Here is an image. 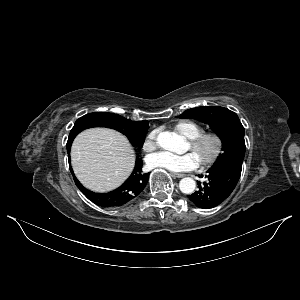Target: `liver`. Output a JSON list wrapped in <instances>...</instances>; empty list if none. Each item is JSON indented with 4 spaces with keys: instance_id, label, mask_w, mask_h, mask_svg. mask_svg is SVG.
<instances>
[{
    "instance_id": "obj_1",
    "label": "liver",
    "mask_w": 300,
    "mask_h": 300,
    "mask_svg": "<svg viewBox=\"0 0 300 300\" xmlns=\"http://www.w3.org/2000/svg\"><path fill=\"white\" fill-rule=\"evenodd\" d=\"M71 162L76 177L86 188L107 192L119 187L131 174L135 154L121 133L91 128L75 138Z\"/></svg>"
}]
</instances>
